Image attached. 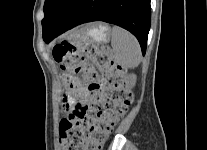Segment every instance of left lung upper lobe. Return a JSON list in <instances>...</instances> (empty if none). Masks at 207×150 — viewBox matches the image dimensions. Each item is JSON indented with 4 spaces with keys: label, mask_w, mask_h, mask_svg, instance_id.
<instances>
[{
    "label": "left lung upper lobe",
    "mask_w": 207,
    "mask_h": 150,
    "mask_svg": "<svg viewBox=\"0 0 207 150\" xmlns=\"http://www.w3.org/2000/svg\"><path fill=\"white\" fill-rule=\"evenodd\" d=\"M71 2L72 0H45L43 33L51 30Z\"/></svg>",
    "instance_id": "left-lung-upper-lobe-1"
}]
</instances>
